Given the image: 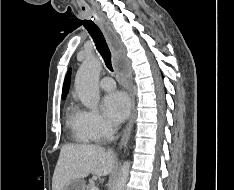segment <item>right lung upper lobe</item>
I'll list each match as a JSON object with an SVG mask.
<instances>
[{"mask_svg":"<svg viewBox=\"0 0 234 190\" xmlns=\"http://www.w3.org/2000/svg\"><path fill=\"white\" fill-rule=\"evenodd\" d=\"M70 76H71V70L68 71L65 80H64V85H63V90H62V98L66 97V94L68 92L69 89V85H70Z\"/></svg>","mask_w":234,"mask_h":190,"instance_id":"right-lung-upper-lobe-1","label":"right lung upper lobe"}]
</instances>
